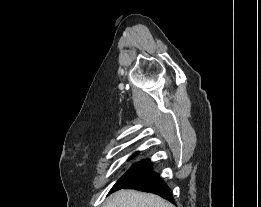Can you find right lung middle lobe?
<instances>
[{"mask_svg":"<svg viewBox=\"0 0 261 207\" xmlns=\"http://www.w3.org/2000/svg\"><path fill=\"white\" fill-rule=\"evenodd\" d=\"M151 171V163L149 161H142L134 164L113 186L111 189L115 191L121 188L126 183L130 182L131 180Z\"/></svg>","mask_w":261,"mask_h":207,"instance_id":"right-lung-middle-lobe-1","label":"right lung middle lobe"}]
</instances>
